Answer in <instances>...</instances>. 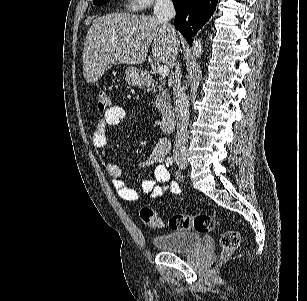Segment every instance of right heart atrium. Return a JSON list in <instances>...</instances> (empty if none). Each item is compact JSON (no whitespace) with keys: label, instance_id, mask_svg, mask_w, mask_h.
<instances>
[{"label":"right heart atrium","instance_id":"1","mask_svg":"<svg viewBox=\"0 0 307 301\" xmlns=\"http://www.w3.org/2000/svg\"><path fill=\"white\" fill-rule=\"evenodd\" d=\"M133 4H139L140 9L143 7H149L150 4L155 5L154 0H133Z\"/></svg>","mask_w":307,"mask_h":301}]
</instances>
